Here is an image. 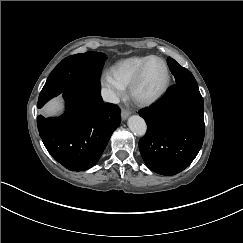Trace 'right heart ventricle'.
Instances as JSON below:
<instances>
[{"mask_svg": "<svg viewBox=\"0 0 243 243\" xmlns=\"http://www.w3.org/2000/svg\"><path fill=\"white\" fill-rule=\"evenodd\" d=\"M159 58L156 55H132L120 59L112 66L119 81L125 88H129L141 67L149 60Z\"/></svg>", "mask_w": 243, "mask_h": 243, "instance_id": "obj_1", "label": "right heart ventricle"}]
</instances>
